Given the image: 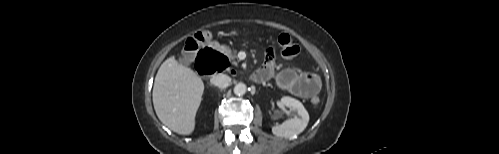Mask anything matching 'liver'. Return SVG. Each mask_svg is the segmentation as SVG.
I'll use <instances>...</instances> for the list:
<instances>
[{
    "mask_svg": "<svg viewBox=\"0 0 499 154\" xmlns=\"http://www.w3.org/2000/svg\"><path fill=\"white\" fill-rule=\"evenodd\" d=\"M204 83L174 57L160 66L153 86V105L159 120L172 131L190 135L202 101Z\"/></svg>",
    "mask_w": 499,
    "mask_h": 154,
    "instance_id": "1",
    "label": "liver"
}]
</instances>
